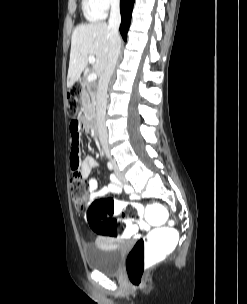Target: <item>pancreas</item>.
I'll return each mask as SVG.
<instances>
[{"instance_id":"obj_1","label":"pancreas","mask_w":247,"mask_h":304,"mask_svg":"<svg viewBox=\"0 0 247 304\" xmlns=\"http://www.w3.org/2000/svg\"><path fill=\"white\" fill-rule=\"evenodd\" d=\"M83 86H86V89L81 90V102L82 109L87 116H91L94 114L96 101H95V93L91 90L89 84L85 82Z\"/></svg>"}]
</instances>
